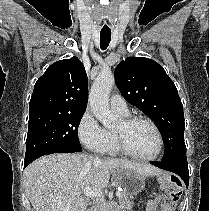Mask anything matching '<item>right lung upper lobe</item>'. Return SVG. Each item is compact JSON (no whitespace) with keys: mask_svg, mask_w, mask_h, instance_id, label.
<instances>
[{"mask_svg":"<svg viewBox=\"0 0 209 211\" xmlns=\"http://www.w3.org/2000/svg\"><path fill=\"white\" fill-rule=\"evenodd\" d=\"M88 79L77 57L50 65L37 80L29 105V115L36 113L85 112Z\"/></svg>","mask_w":209,"mask_h":211,"instance_id":"obj_1","label":"right lung upper lobe"}]
</instances>
